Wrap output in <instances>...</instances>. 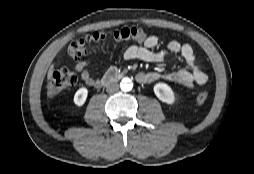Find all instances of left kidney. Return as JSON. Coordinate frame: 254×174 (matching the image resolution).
<instances>
[{
	"label": "left kidney",
	"mask_w": 254,
	"mask_h": 174,
	"mask_svg": "<svg viewBox=\"0 0 254 174\" xmlns=\"http://www.w3.org/2000/svg\"><path fill=\"white\" fill-rule=\"evenodd\" d=\"M153 90L160 101L167 104H173L175 102L174 92L168 84L159 82L154 85Z\"/></svg>",
	"instance_id": "5707ae66"
}]
</instances>
